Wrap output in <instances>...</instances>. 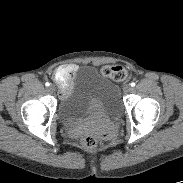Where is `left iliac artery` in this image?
<instances>
[{
    "label": "left iliac artery",
    "instance_id": "left-iliac-artery-1",
    "mask_svg": "<svg viewBox=\"0 0 183 183\" xmlns=\"http://www.w3.org/2000/svg\"><path fill=\"white\" fill-rule=\"evenodd\" d=\"M130 85H131L132 87H134L136 84H135L134 82H132Z\"/></svg>",
    "mask_w": 183,
    "mask_h": 183
}]
</instances>
